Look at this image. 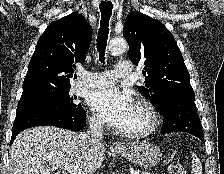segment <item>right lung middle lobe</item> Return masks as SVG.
<instances>
[{
    "instance_id": "dd1d6c3e",
    "label": "right lung middle lobe",
    "mask_w": 224,
    "mask_h": 174,
    "mask_svg": "<svg viewBox=\"0 0 224 174\" xmlns=\"http://www.w3.org/2000/svg\"><path fill=\"white\" fill-rule=\"evenodd\" d=\"M70 87L71 86L44 87L27 94H22L19 103L27 101H43L63 110L79 108L81 107V104L74 102L75 98L69 96Z\"/></svg>"
}]
</instances>
